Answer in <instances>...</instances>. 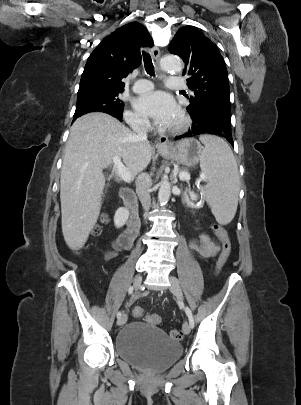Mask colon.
Instances as JSON below:
<instances>
[{"label":"colon","instance_id":"obj_1","mask_svg":"<svg viewBox=\"0 0 301 405\" xmlns=\"http://www.w3.org/2000/svg\"><path fill=\"white\" fill-rule=\"evenodd\" d=\"M101 223H105L107 221V216L102 215L100 218ZM212 230L215 233V235L220 239L222 243V249L221 253L218 257L217 263H216V272H220L221 269L224 267L226 262L228 261V258L231 254V242L228 236L227 231L220 225L214 224L212 225ZM101 231V227L99 225L95 226L92 230V233L94 235H98ZM133 315L136 318H144L147 322L153 325H158L161 323V317L160 315L156 313H150L146 314L144 310L141 307H135L133 309ZM170 336L171 338L175 340H181L182 339V333L179 330H172L170 331Z\"/></svg>","mask_w":301,"mask_h":405}]
</instances>
